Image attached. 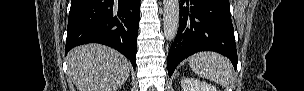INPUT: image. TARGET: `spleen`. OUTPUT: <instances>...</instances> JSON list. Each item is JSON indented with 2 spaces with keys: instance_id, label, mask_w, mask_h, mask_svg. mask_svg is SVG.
<instances>
[{
  "instance_id": "spleen-1",
  "label": "spleen",
  "mask_w": 304,
  "mask_h": 91,
  "mask_svg": "<svg viewBox=\"0 0 304 91\" xmlns=\"http://www.w3.org/2000/svg\"><path fill=\"white\" fill-rule=\"evenodd\" d=\"M191 69L199 77L229 85L233 72L232 64L224 56L215 52H200L189 58Z\"/></svg>"
}]
</instances>
